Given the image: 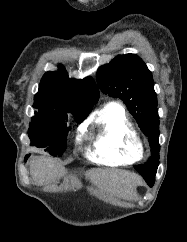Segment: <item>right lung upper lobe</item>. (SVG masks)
<instances>
[{"label": "right lung upper lobe", "instance_id": "1", "mask_svg": "<svg viewBox=\"0 0 187 242\" xmlns=\"http://www.w3.org/2000/svg\"><path fill=\"white\" fill-rule=\"evenodd\" d=\"M58 69L46 72L40 81L33 104L36 115L87 116L99 99L94 80L91 77L70 79L64 67L59 65Z\"/></svg>", "mask_w": 187, "mask_h": 242}]
</instances>
